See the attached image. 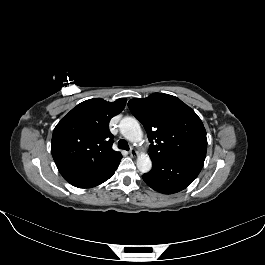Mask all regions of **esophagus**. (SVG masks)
I'll list each match as a JSON object with an SVG mask.
<instances>
[{
	"label": "esophagus",
	"mask_w": 265,
	"mask_h": 265,
	"mask_svg": "<svg viewBox=\"0 0 265 265\" xmlns=\"http://www.w3.org/2000/svg\"><path fill=\"white\" fill-rule=\"evenodd\" d=\"M129 153L132 157H136L138 155V152L134 148H131Z\"/></svg>",
	"instance_id": "obj_1"
}]
</instances>
